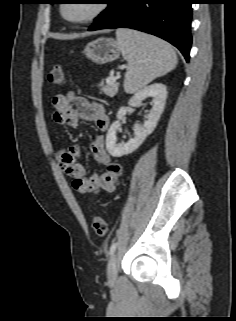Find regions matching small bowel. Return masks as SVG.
<instances>
[{
    "instance_id": "1",
    "label": "small bowel",
    "mask_w": 236,
    "mask_h": 321,
    "mask_svg": "<svg viewBox=\"0 0 236 321\" xmlns=\"http://www.w3.org/2000/svg\"><path fill=\"white\" fill-rule=\"evenodd\" d=\"M53 120L59 125L77 127L81 121L92 122L100 133L107 131L109 118L104 107L89 101L73 92L68 95H56L52 99ZM81 148H59L57 157L64 173L72 179L74 189L80 194L98 191L112 192L119 183L123 172L120 163L112 160L105 149L104 137L98 134L90 144V152L95 161L104 168L100 174L88 175L86 168L76 161Z\"/></svg>"
}]
</instances>
